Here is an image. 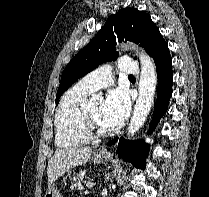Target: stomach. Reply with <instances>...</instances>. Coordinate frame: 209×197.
<instances>
[{"label":"stomach","instance_id":"obj_1","mask_svg":"<svg viewBox=\"0 0 209 197\" xmlns=\"http://www.w3.org/2000/svg\"><path fill=\"white\" fill-rule=\"evenodd\" d=\"M109 159V154L108 153H98L95 152L93 155V160L95 162H106ZM44 197H64L54 186H51L48 188L46 191V194Z\"/></svg>","mask_w":209,"mask_h":197}]
</instances>
